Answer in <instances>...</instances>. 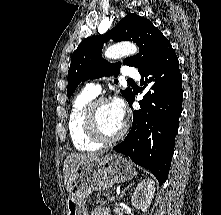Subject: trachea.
Segmentation results:
<instances>
[{
  "mask_svg": "<svg viewBox=\"0 0 221 215\" xmlns=\"http://www.w3.org/2000/svg\"><path fill=\"white\" fill-rule=\"evenodd\" d=\"M128 81H129V82H132L133 80L130 79V80H128Z\"/></svg>",
  "mask_w": 221,
  "mask_h": 215,
  "instance_id": "3493384b",
  "label": "trachea"
}]
</instances>
